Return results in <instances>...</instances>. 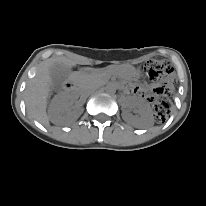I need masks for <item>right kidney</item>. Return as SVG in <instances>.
I'll return each instance as SVG.
<instances>
[{"label": "right kidney", "mask_w": 206, "mask_h": 206, "mask_svg": "<svg viewBox=\"0 0 206 206\" xmlns=\"http://www.w3.org/2000/svg\"><path fill=\"white\" fill-rule=\"evenodd\" d=\"M76 99L74 94H60L55 96L48 108V116L53 123H66L76 120L80 111L73 107Z\"/></svg>", "instance_id": "obj_1"}]
</instances>
